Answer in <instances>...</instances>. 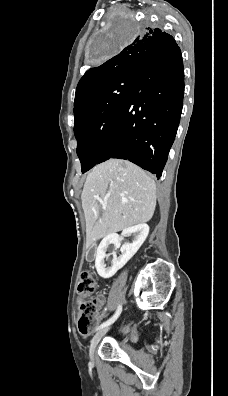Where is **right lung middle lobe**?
I'll return each mask as SVG.
<instances>
[{
    "label": "right lung middle lobe",
    "instance_id": "1",
    "mask_svg": "<svg viewBox=\"0 0 228 396\" xmlns=\"http://www.w3.org/2000/svg\"><path fill=\"white\" fill-rule=\"evenodd\" d=\"M136 34L140 25L133 18L123 19ZM125 40L114 37L109 47L99 55L110 54ZM135 73L119 76L90 95L75 115L74 133L77 139V155L81 161L82 173L94 167L103 155L109 135L132 86Z\"/></svg>",
    "mask_w": 228,
    "mask_h": 396
}]
</instances>
